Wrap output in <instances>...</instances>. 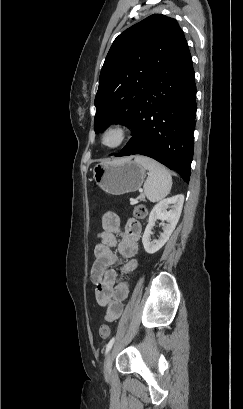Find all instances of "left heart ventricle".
<instances>
[{
  "instance_id": "left-heart-ventricle-1",
  "label": "left heart ventricle",
  "mask_w": 243,
  "mask_h": 409,
  "mask_svg": "<svg viewBox=\"0 0 243 409\" xmlns=\"http://www.w3.org/2000/svg\"><path fill=\"white\" fill-rule=\"evenodd\" d=\"M105 140H106L107 144L112 145V144H114L116 142L117 138H116V136L114 134H110V135H108L106 137Z\"/></svg>"
}]
</instances>
